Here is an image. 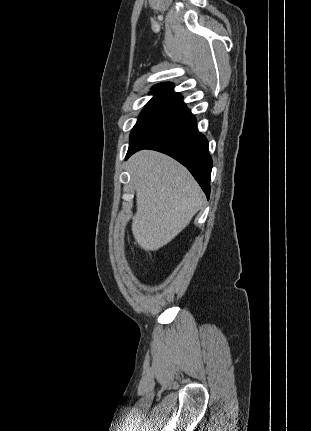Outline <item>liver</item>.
Segmentation results:
<instances>
[{
	"label": "liver",
	"mask_w": 311,
	"mask_h": 431,
	"mask_svg": "<svg viewBox=\"0 0 311 431\" xmlns=\"http://www.w3.org/2000/svg\"><path fill=\"white\" fill-rule=\"evenodd\" d=\"M128 162L136 190L133 237L142 249L155 251L174 239L201 210L203 194L190 172L165 154L143 150Z\"/></svg>",
	"instance_id": "6515ba94"
}]
</instances>
